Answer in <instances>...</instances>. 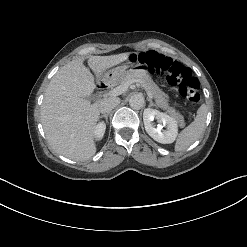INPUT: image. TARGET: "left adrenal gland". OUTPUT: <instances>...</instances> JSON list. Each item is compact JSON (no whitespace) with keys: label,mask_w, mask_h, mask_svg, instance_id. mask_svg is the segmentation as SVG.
I'll list each match as a JSON object with an SVG mask.
<instances>
[{"label":"left adrenal gland","mask_w":247,"mask_h":247,"mask_svg":"<svg viewBox=\"0 0 247 247\" xmlns=\"http://www.w3.org/2000/svg\"><path fill=\"white\" fill-rule=\"evenodd\" d=\"M147 100L149 101V107H151V106L157 107V105L154 104L153 101L150 98H148Z\"/></svg>","instance_id":"left-adrenal-gland-1"}]
</instances>
